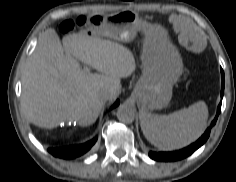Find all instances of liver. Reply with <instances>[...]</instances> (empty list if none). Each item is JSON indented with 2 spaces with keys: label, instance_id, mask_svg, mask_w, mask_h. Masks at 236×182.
<instances>
[{
  "label": "liver",
  "instance_id": "1",
  "mask_svg": "<svg viewBox=\"0 0 236 182\" xmlns=\"http://www.w3.org/2000/svg\"><path fill=\"white\" fill-rule=\"evenodd\" d=\"M62 43L55 30L43 32L22 74V110L31 123L47 129L66 121L93 124L105 104L99 93L109 90L114 99L120 78L136 68L128 48L96 34H71ZM77 60L99 73L81 70Z\"/></svg>",
  "mask_w": 236,
  "mask_h": 182
}]
</instances>
